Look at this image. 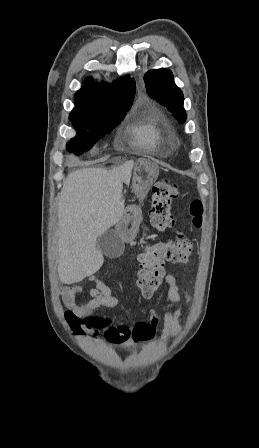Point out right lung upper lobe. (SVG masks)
<instances>
[{"instance_id":"1","label":"right lung upper lobe","mask_w":259,"mask_h":448,"mask_svg":"<svg viewBox=\"0 0 259 448\" xmlns=\"http://www.w3.org/2000/svg\"><path fill=\"white\" fill-rule=\"evenodd\" d=\"M84 84L75 95L76 107L70 115L130 108L135 96V81L129 76L115 81L112 86L105 84L103 88L91 77Z\"/></svg>"}]
</instances>
